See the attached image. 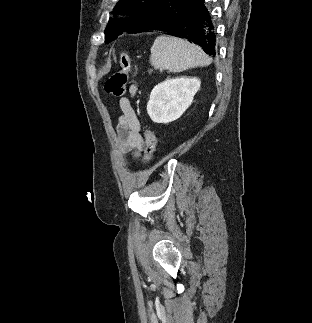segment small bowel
I'll list each match as a JSON object with an SVG mask.
<instances>
[{"instance_id":"obj_1","label":"small bowel","mask_w":312,"mask_h":323,"mask_svg":"<svg viewBox=\"0 0 312 323\" xmlns=\"http://www.w3.org/2000/svg\"><path fill=\"white\" fill-rule=\"evenodd\" d=\"M136 90V86L132 85L130 87L131 95H134ZM119 108L117 151L120 154L132 153L135 158H138L143 148L140 121L128 97L120 98Z\"/></svg>"}]
</instances>
